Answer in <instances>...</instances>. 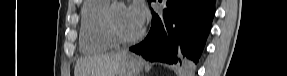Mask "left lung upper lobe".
<instances>
[{
  "label": "left lung upper lobe",
  "mask_w": 287,
  "mask_h": 76,
  "mask_svg": "<svg viewBox=\"0 0 287 76\" xmlns=\"http://www.w3.org/2000/svg\"><path fill=\"white\" fill-rule=\"evenodd\" d=\"M151 1H155V0H148L149 3H150Z\"/></svg>",
  "instance_id": "left-lung-upper-lobe-1"
}]
</instances>
